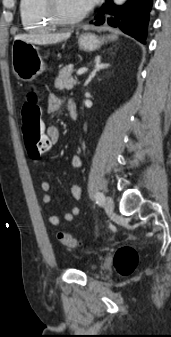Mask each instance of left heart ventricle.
<instances>
[{
    "mask_svg": "<svg viewBox=\"0 0 171 337\" xmlns=\"http://www.w3.org/2000/svg\"><path fill=\"white\" fill-rule=\"evenodd\" d=\"M59 5L66 16H75L85 11L77 0H59Z\"/></svg>",
    "mask_w": 171,
    "mask_h": 337,
    "instance_id": "b2bd125f",
    "label": "left heart ventricle"
}]
</instances>
